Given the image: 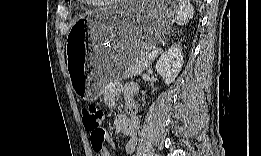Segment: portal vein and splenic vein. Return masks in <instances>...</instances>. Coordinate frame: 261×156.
Wrapping results in <instances>:
<instances>
[{
	"label": "portal vein and splenic vein",
	"mask_w": 261,
	"mask_h": 156,
	"mask_svg": "<svg viewBox=\"0 0 261 156\" xmlns=\"http://www.w3.org/2000/svg\"><path fill=\"white\" fill-rule=\"evenodd\" d=\"M158 55V50H153L151 51L148 55L147 58L149 59H154Z\"/></svg>",
	"instance_id": "18ae733b"
}]
</instances>
